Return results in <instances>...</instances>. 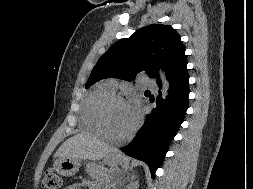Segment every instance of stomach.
<instances>
[{"mask_svg": "<svg viewBox=\"0 0 253 189\" xmlns=\"http://www.w3.org/2000/svg\"><path fill=\"white\" fill-rule=\"evenodd\" d=\"M104 163L111 168H116L125 163L124 157L117 153L112 152L104 157ZM81 160L77 158H58L54 163V169L62 176H73L79 170Z\"/></svg>", "mask_w": 253, "mask_h": 189, "instance_id": "0dacf381", "label": "stomach"}]
</instances>
